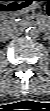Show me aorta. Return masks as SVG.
<instances>
[{"mask_svg": "<svg viewBox=\"0 0 50 111\" xmlns=\"http://www.w3.org/2000/svg\"><path fill=\"white\" fill-rule=\"evenodd\" d=\"M25 35L27 38H30V39H35L38 37L39 35V31L37 28L35 27H29L25 30Z\"/></svg>", "mask_w": 50, "mask_h": 111, "instance_id": "obj_1", "label": "aorta"}]
</instances>
